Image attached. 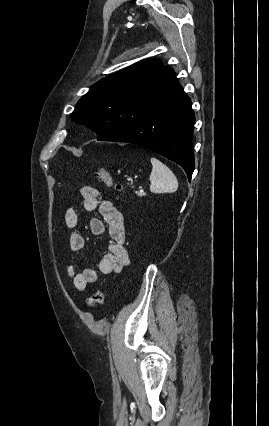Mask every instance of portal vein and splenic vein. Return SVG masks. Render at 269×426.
Instances as JSON below:
<instances>
[{"label": "portal vein and splenic vein", "mask_w": 269, "mask_h": 426, "mask_svg": "<svg viewBox=\"0 0 269 426\" xmlns=\"http://www.w3.org/2000/svg\"><path fill=\"white\" fill-rule=\"evenodd\" d=\"M140 193H144V190L143 189H140V191H139Z\"/></svg>", "instance_id": "1"}]
</instances>
